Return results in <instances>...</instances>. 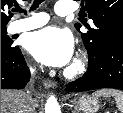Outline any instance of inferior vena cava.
Here are the masks:
<instances>
[{
	"mask_svg": "<svg viewBox=\"0 0 123 113\" xmlns=\"http://www.w3.org/2000/svg\"><path fill=\"white\" fill-rule=\"evenodd\" d=\"M36 68L31 69V77L35 78ZM35 101L32 99L30 95H27L26 103L24 105L22 113H34Z\"/></svg>",
	"mask_w": 123,
	"mask_h": 113,
	"instance_id": "602c4592",
	"label": "inferior vena cava"
}]
</instances>
